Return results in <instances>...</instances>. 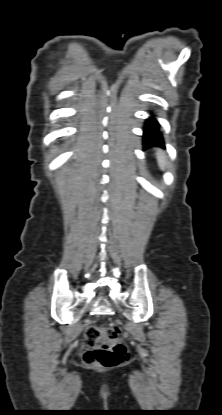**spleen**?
<instances>
[{
	"label": "spleen",
	"instance_id": "spleen-1",
	"mask_svg": "<svg viewBox=\"0 0 222 415\" xmlns=\"http://www.w3.org/2000/svg\"><path fill=\"white\" fill-rule=\"evenodd\" d=\"M156 158L158 161V165L159 167L164 170L167 166V157L165 155V153L162 150H157L156 152Z\"/></svg>",
	"mask_w": 222,
	"mask_h": 415
}]
</instances>
